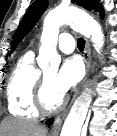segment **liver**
<instances>
[{"instance_id":"liver-1","label":"liver","mask_w":117,"mask_h":136,"mask_svg":"<svg viewBox=\"0 0 117 136\" xmlns=\"http://www.w3.org/2000/svg\"><path fill=\"white\" fill-rule=\"evenodd\" d=\"M4 136H47V129L33 121L10 119L3 122Z\"/></svg>"}]
</instances>
